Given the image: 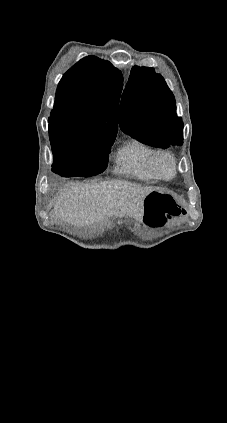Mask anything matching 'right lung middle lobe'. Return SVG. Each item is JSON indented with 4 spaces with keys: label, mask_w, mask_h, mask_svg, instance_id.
<instances>
[{
    "label": "right lung middle lobe",
    "mask_w": 227,
    "mask_h": 423,
    "mask_svg": "<svg viewBox=\"0 0 227 423\" xmlns=\"http://www.w3.org/2000/svg\"><path fill=\"white\" fill-rule=\"evenodd\" d=\"M116 137L67 138L51 141L54 164L69 165L72 176L91 177L103 172Z\"/></svg>",
    "instance_id": "dd1d6c3e"
}]
</instances>
